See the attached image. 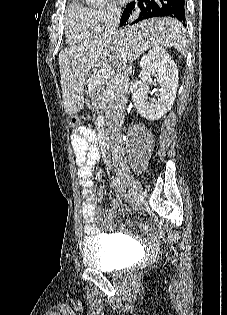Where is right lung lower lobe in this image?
<instances>
[{
    "label": "right lung lower lobe",
    "mask_w": 227,
    "mask_h": 315,
    "mask_svg": "<svg viewBox=\"0 0 227 315\" xmlns=\"http://www.w3.org/2000/svg\"><path fill=\"white\" fill-rule=\"evenodd\" d=\"M135 4L136 2L134 1L126 6L120 19L121 26L126 24L132 10L135 8ZM184 4V0H138L137 6L140 8L141 12L138 19H136L133 23L158 16H170L184 22Z\"/></svg>",
    "instance_id": "1"
}]
</instances>
